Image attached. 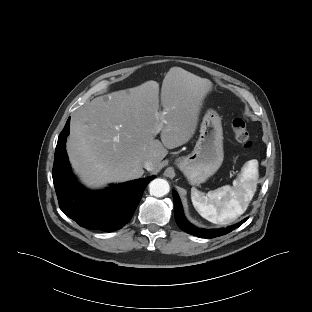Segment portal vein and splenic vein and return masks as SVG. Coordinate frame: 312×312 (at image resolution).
Masks as SVG:
<instances>
[{
  "label": "portal vein and splenic vein",
  "mask_w": 312,
  "mask_h": 312,
  "mask_svg": "<svg viewBox=\"0 0 312 312\" xmlns=\"http://www.w3.org/2000/svg\"><path fill=\"white\" fill-rule=\"evenodd\" d=\"M160 130H161V128L158 127L157 130H156V132H155V134H158V133L160 132Z\"/></svg>",
  "instance_id": "portal-vein-and-splenic-vein-1"
}]
</instances>
